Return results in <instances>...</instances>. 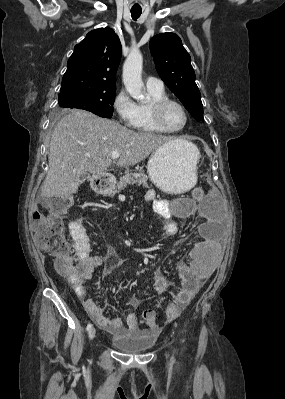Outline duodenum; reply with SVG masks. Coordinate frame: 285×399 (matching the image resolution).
Returning a JSON list of instances; mask_svg holds the SVG:
<instances>
[{"label": "duodenum", "mask_w": 285, "mask_h": 399, "mask_svg": "<svg viewBox=\"0 0 285 399\" xmlns=\"http://www.w3.org/2000/svg\"><path fill=\"white\" fill-rule=\"evenodd\" d=\"M95 189H99V190L105 191L107 189V183L103 182Z\"/></svg>", "instance_id": "410a0bca"}]
</instances>
